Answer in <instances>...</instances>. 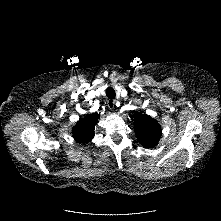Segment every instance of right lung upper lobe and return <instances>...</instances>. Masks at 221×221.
Wrapping results in <instances>:
<instances>
[{
  "label": "right lung upper lobe",
  "instance_id": "right-lung-upper-lobe-1",
  "mask_svg": "<svg viewBox=\"0 0 221 221\" xmlns=\"http://www.w3.org/2000/svg\"><path fill=\"white\" fill-rule=\"evenodd\" d=\"M98 114H90L80 119L73 127L72 133L79 143H86L94 137V127L97 124Z\"/></svg>",
  "mask_w": 221,
  "mask_h": 221
}]
</instances>
